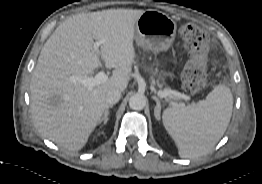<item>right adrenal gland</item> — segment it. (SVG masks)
I'll use <instances>...</instances> for the list:
<instances>
[{"instance_id": "right-adrenal-gland-1", "label": "right adrenal gland", "mask_w": 262, "mask_h": 184, "mask_svg": "<svg viewBox=\"0 0 262 184\" xmlns=\"http://www.w3.org/2000/svg\"><path fill=\"white\" fill-rule=\"evenodd\" d=\"M112 107H113V105H107V106H106V109H105V111H104V115H103V117L101 118L99 124L105 125V124L107 123V121H108V116H109V109L112 108Z\"/></svg>"}]
</instances>
